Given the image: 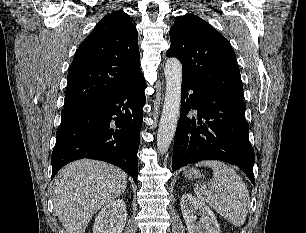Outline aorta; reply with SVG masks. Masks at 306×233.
Returning <instances> with one entry per match:
<instances>
[{"label":"aorta","instance_id":"aorta-1","mask_svg":"<svg viewBox=\"0 0 306 233\" xmlns=\"http://www.w3.org/2000/svg\"><path fill=\"white\" fill-rule=\"evenodd\" d=\"M166 92L157 133V149L164 154L176 131L181 105L182 64L177 58H170L164 67Z\"/></svg>","mask_w":306,"mask_h":233}]
</instances>
